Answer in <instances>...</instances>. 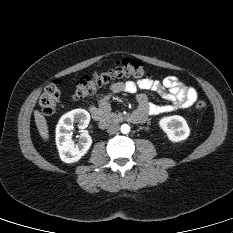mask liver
<instances>
[{
    "label": "liver",
    "mask_w": 233,
    "mask_h": 233,
    "mask_svg": "<svg viewBox=\"0 0 233 233\" xmlns=\"http://www.w3.org/2000/svg\"><path fill=\"white\" fill-rule=\"evenodd\" d=\"M34 118H35V123L37 126V129L39 131V134L41 138L44 141H47L49 139V131H48V125L45 117L39 112L38 110L34 111Z\"/></svg>",
    "instance_id": "6515ba94"
}]
</instances>
